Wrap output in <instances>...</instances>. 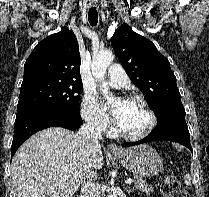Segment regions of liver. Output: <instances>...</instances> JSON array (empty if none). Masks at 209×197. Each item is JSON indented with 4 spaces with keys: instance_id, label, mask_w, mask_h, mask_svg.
Here are the masks:
<instances>
[{
    "instance_id": "obj_1",
    "label": "liver",
    "mask_w": 209,
    "mask_h": 197,
    "mask_svg": "<svg viewBox=\"0 0 209 197\" xmlns=\"http://www.w3.org/2000/svg\"><path fill=\"white\" fill-rule=\"evenodd\" d=\"M99 144L84 142L60 127L41 130L16 152L11 176L18 197H72L86 170L100 169Z\"/></svg>"
}]
</instances>
